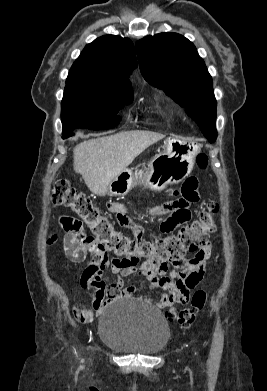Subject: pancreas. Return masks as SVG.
<instances>
[{
	"instance_id": "pancreas-1",
	"label": "pancreas",
	"mask_w": 267,
	"mask_h": 391,
	"mask_svg": "<svg viewBox=\"0 0 267 391\" xmlns=\"http://www.w3.org/2000/svg\"><path fill=\"white\" fill-rule=\"evenodd\" d=\"M140 173H142V171H139L138 173H137V171H136V173H135V174L137 175V174H140Z\"/></svg>"
}]
</instances>
